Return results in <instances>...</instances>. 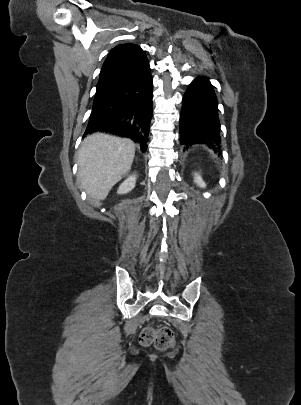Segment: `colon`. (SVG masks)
<instances>
[{
    "label": "colon",
    "mask_w": 301,
    "mask_h": 405,
    "mask_svg": "<svg viewBox=\"0 0 301 405\" xmlns=\"http://www.w3.org/2000/svg\"><path fill=\"white\" fill-rule=\"evenodd\" d=\"M139 342L143 346L153 345L157 350L164 351L171 348L175 343L173 331L168 327H146L139 336Z\"/></svg>",
    "instance_id": "colon-1"
}]
</instances>
